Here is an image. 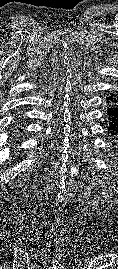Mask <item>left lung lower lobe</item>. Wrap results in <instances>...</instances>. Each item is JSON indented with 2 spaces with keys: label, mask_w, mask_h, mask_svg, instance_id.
I'll use <instances>...</instances> for the list:
<instances>
[{
  "label": "left lung lower lobe",
  "mask_w": 118,
  "mask_h": 269,
  "mask_svg": "<svg viewBox=\"0 0 118 269\" xmlns=\"http://www.w3.org/2000/svg\"><path fill=\"white\" fill-rule=\"evenodd\" d=\"M107 114H108V133L112 138V146L115 152L118 153V94H110L107 98Z\"/></svg>",
  "instance_id": "0a47b994"
}]
</instances>
